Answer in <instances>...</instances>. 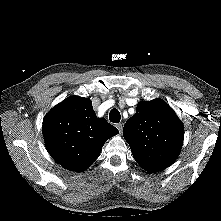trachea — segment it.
I'll return each mask as SVG.
<instances>
[{"instance_id": "trachea-1", "label": "trachea", "mask_w": 221, "mask_h": 221, "mask_svg": "<svg viewBox=\"0 0 221 221\" xmlns=\"http://www.w3.org/2000/svg\"><path fill=\"white\" fill-rule=\"evenodd\" d=\"M120 119V112L116 108L112 109L109 113V120L113 123H118L120 122Z\"/></svg>"}]
</instances>
